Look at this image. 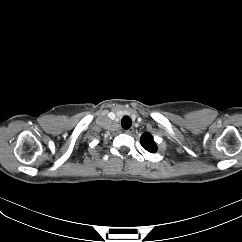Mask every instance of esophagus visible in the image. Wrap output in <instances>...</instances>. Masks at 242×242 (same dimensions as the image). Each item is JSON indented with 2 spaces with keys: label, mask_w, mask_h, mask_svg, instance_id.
I'll list each match as a JSON object with an SVG mask.
<instances>
[{
  "label": "esophagus",
  "mask_w": 242,
  "mask_h": 242,
  "mask_svg": "<svg viewBox=\"0 0 242 242\" xmlns=\"http://www.w3.org/2000/svg\"><path fill=\"white\" fill-rule=\"evenodd\" d=\"M133 132H134L133 128H129V129L125 130V133L128 134V135H132Z\"/></svg>",
  "instance_id": "34e87169"
}]
</instances>
